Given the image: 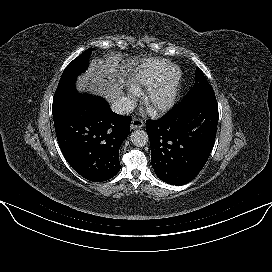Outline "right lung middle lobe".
I'll list each match as a JSON object with an SVG mask.
<instances>
[{
  "mask_svg": "<svg viewBox=\"0 0 272 272\" xmlns=\"http://www.w3.org/2000/svg\"><path fill=\"white\" fill-rule=\"evenodd\" d=\"M93 49L85 50L80 56L75 58L64 70L61 79L59 81L58 87L56 89L53 98V107L55 110L63 100L70 94L76 92L75 90V80L77 75L82 73L88 66V58Z\"/></svg>",
  "mask_w": 272,
  "mask_h": 272,
  "instance_id": "right-lung-middle-lobe-1",
  "label": "right lung middle lobe"
}]
</instances>
